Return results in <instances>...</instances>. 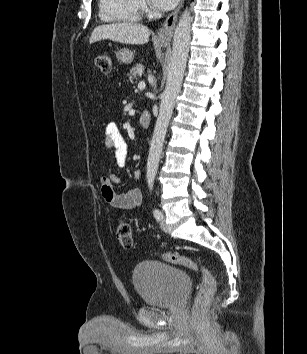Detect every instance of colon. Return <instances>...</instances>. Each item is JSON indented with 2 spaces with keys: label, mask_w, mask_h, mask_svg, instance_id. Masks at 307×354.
<instances>
[{
  "label": "colon",
  "mask_w": 307,
  "mask_h": 354,
  "mask_svg": "<svg viewBox=\"0 0 307 354\" xmlns=\"http://www.w3.org/2000/svg\"><path fill=\"white\" fill-rule=\"evenodd\" d=\"M95 64L102 73L107 74L111 70V56L108 54L99 55L95 60ZM116 235L122 247L128 249L133 246L132 228L126 221L122 220L118 223ZM161 257L165 261L189 268L199 275L200 287L193 307L194 319L198 320L201 312L212 300L216 290V281L213 274L199 261L184 255L168 252L163 253Z\"/></svg>",
  "instance_id": "colon-1"
}]
</instances>
